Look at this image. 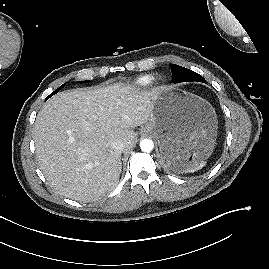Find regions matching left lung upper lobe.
<instances>
[{
	"label": "left lung upper lobe",
	"instance_id": "obj_1",
	"mask_svg": "<svg viewBox=\"0 0 269 269\" xmlns=\"http://www.w3.org/2000/svg\"><path fill=\"white\" fill-rule=\"evenodd\" d=\"M171 72H172V82L180 83V82H189V81H197V82H206V80L198 73L184 68L182 66L176 64H170Z\"/></svg>",
	"mask_w": 269,
	"mask_h": 269
}]
</instances>
